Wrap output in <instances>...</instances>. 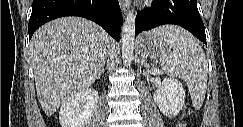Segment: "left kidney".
<instances>
[{
	"label": "left kidney",
	"instance_id": "1",
	"mask_svg": "<svg viewBox=\"0 0 243 127\" xmlns=\"http://www.w3.org/2000/svg\"><path fill=\"white\" fill-rule=\"evenodd\" d=\"M160 111L167 117L177 116L185 103V90L174 78H165L153 95Z\"/></svg>",
	"mask_w": 243,
	"mask_h": 127
}]
</instances>
